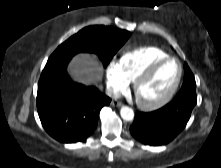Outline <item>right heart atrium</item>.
I'll return each instance as SVG.
<instances>
[{
	"label": "right heart atrium",
	"mask_w": 221,
	"mask_h": 168,
	"mask_svg": "<svg viewBox=\"0 0 221 168\" xmlns=\"http://www.w3.org/2000/svg\"><path fill=\"white\" fill-rule=\"evenodd\" d=\"M105 86L107 93L112 97L118 96L127 88L128 81L123 76L118 63L110 62L106 66Z\"/></svg>",
	"instance_id": "d8ad5b80"
}]
</instances>
